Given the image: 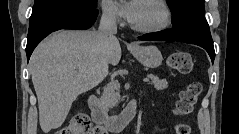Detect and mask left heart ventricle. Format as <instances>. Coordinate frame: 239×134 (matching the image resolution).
Here are the masks:
<instances>
[{
    "mask_svg": "<svg viewBox=\"0 0 239 134\" xmlns=\"http://www.w3.org/2000/svg\"><path fill=\"white\" fill-rule=\"evenodd\" d=\"M162 20V12L148 1H139L138 11L132 24L147 27L157 25Z\"/></svg>",
    "mask_w": 239,
    "mask_h": 134,
    "instance_id": "obj_1",
    "label": "left heart ventricle"
}]
</instances>
